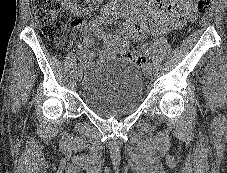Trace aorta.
<instances>
[{
  "instance_id": "obj_1",
  "label": "aorta",
  "mask_w": 227,
  "mask_h": 173,
  "mask_svg": "<svg viewBox=\"0 0 227 173\" xmlns=\"http://www.w3.org/2000/svg\"><path fill=\"white\" fill-rule=\"evenodd\" d=\"M113 1L118 2V1H121V0H113Z\"/></svg>"
}]
</instances>
